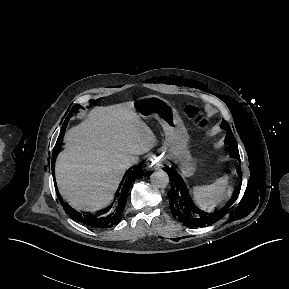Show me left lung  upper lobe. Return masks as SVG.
Listing matches in <instances>:
<instances>
[{"mask_svg": "<svg viewBox=\"0 0 289 289\" xmlns=\"http://www.w3.org/2000/svg\"><path fill=\"white\" fill-rule=\"evenodd\" d=\"M221 128L225 129L227 131V137L225 139V143L231 145L232 147V152H231V156L233 158H236L238 160H240V156H239V151H238V147L234 138V135L230 129L229 124L223 120Z\"/></svg>", "mask_w": 289, "mask_h": 289, "instance_id": "5c2ea615", "label": "left lung upper lobe"}]
</instances>
